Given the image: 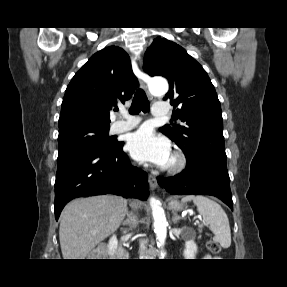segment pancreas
Instances as JSON below:
<instances>
[{
  "instance_id": "pancreas-1",
  "label": "pancreas",
  "mask_w": 287,
  "mask_h": 287,
  "mask_svg": "<svg viewBox=\"0 0 287 287\" xmlns=\"http://www.w3.org/2000/svg\"><path fill=\"white\" fill-rule=\"evenodd\" d=\"M199 228H200L199 231L201 232L202 226H199Z\"/></svg>"
}]
</instances>
